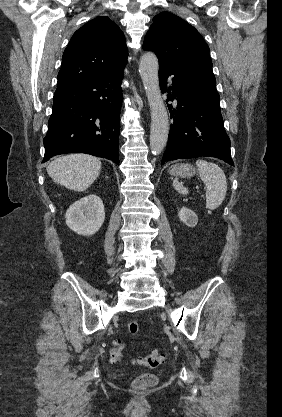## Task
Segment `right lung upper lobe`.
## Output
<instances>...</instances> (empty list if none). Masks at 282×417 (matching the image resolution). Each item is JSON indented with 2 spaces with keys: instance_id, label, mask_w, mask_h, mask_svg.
Returning a JSON list of instances; mask_svg holds the SVG:
<instances>
[{
  "instance_id": "1",
  "label": "right lung upper lobe",
  "mask_w": 282,
  "mask_h": 417,
  "mask_svg": "<svg viewBox=\"0 0 282 417\" xmlns=\"http://www.w3.org/2000/svg\"><path fill=\"white\" fill-rule=\"evenodd\" d=\"M128 50L120 28L99 16L72 36L62 58L57 88L123 70Z\"/></svg>"
}]
</instances>
